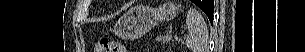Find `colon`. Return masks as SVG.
Returning <instances> with one entry per match:
<instances>
[{"instance_id":"obj_1","label":"colon","mask_w":305,"mask_h":52,"mask_svg":"<svg viewBox=\"0 0 305 52\" xmlns=\"http://www.w3.org/2000/svg\"><path fill=\"white\" fill-rule=\"evenodd\" d=\"M95 52H125V48L116 40L102 38L96 43Z\"/></svg>"}]
</instances>
